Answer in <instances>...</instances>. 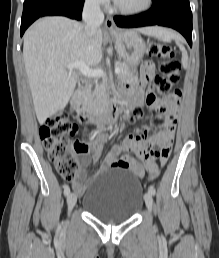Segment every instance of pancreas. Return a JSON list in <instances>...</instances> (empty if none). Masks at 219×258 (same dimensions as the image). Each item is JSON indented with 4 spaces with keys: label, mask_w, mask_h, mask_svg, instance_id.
Masks as SVG:
<instances>
[{
    "label": "pancreas",
    "mask_w": 219,
    "mask_h": 258,
    "mask_svg": "<svg viewBox=\"0 0 219 258\" xmlns=\"http://www.w3.org/2000/svg\"><path fill=\"white\" fill-rule=\"evenodd\" d=\"M115 66H119L121 69L118 74V78L121 81L126 82L133 78L134 71L131 70L130 66L126 62L117 61ZM106 88V81H103L101 84H96L93 90L89 88L86 92L84 103L92 109L100 107L106 97Z\"/></svg>",
    "instance_id": "obj_1"
}]
</instances>
